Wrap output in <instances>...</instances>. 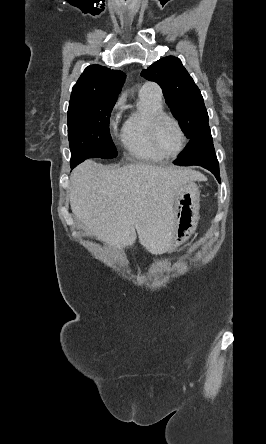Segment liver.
I'll list each match as a JSON object with an SVG mask.
<instances>
[{
    "mask_svg": "<svg viewBox=\"0 0 266 444\" xmlns=\"http://www.w3.org/2000/svg\"><path fill=\"white\" fill-rule=\"evenodd\" d=\"M200 174L188 168L149 164L113 168L87 160L71 175L73 214L89 235L122 249L137 238L152 254L172 242L175 191Z\"/></svg>",
    "mask_w": 266,
    "mask_h": 444,
    "instance_id": "1",
    "label": "liver"
}]
</instances>
